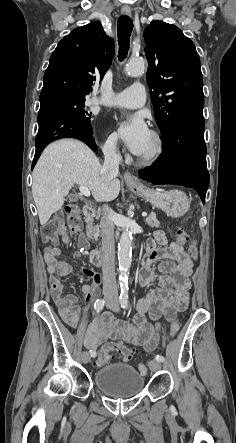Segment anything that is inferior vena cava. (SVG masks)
<instances>
[{
    "mask_svg": "<svg viewBox=\"0 0 236 443\" xmlns=\"http://www.w3.org/2000/svg\"><path fill=\"white\" fill-rule=\"evenodd\" d=\"M117 139L111 138L104 148V164L101 174L105 180L114 179L119 172V163L122 161L120 153L116 151ZM113 212L106 205L102 209L101 235H102V274L103 295L107 304H118V290L115 278V242Z\"/></svg>",
    "mask_w": 236,
    "mask_h": 443,
    "instance_id": "obj_1",
    "label": "inferior vena cava"
}]
</instances>
